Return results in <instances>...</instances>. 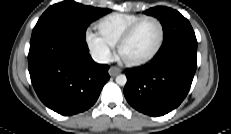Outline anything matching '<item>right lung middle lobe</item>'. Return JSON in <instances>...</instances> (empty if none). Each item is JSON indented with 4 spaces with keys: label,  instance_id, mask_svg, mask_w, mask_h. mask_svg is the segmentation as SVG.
<instances>
[{
    "label": "right lung middle lobe",
    "instance_id": "1",
    "mask_svg": "<svg viewBox=\"0 0 231 134\" xmlns=\"http://www.w3.org/2000/svg\"><path fill=\"white\" fill-rule=\"evenodd\" d=\"M110 11L72 1L60 2L43 13L33 29L31 39L52 29L84 38L87 26Z\"/></svg>",
    "mask_w": 231,
    "mask_h": 134
}]
</instances>
